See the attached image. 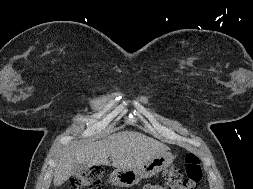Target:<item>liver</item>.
Segmentation results:
<instances>
[{"label":"liver","instance_id":"liver-1","mask_svg":"<svg viewBox=\"0 0 253 189\" xmlns=\"http://www.w3.org/2000/svg\"><path fill=\"white\" fill-rule=\"evenodd\" d=\"M169 147L151 137L134 131L114 133L106 138L89 143H72L63 149L54 173L53 183L61 186L72 175L75 164L88 167L111 165L117 169H133L151 160Z\"/></svg>","mask_w":253,"mask_h":189}]
</instances>
